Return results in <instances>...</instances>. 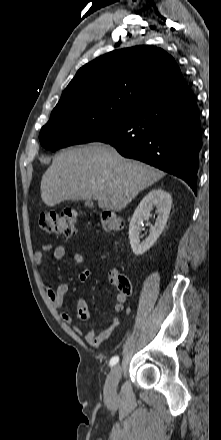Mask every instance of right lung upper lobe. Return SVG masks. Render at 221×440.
<instances>
[{
  "instance_id": "1",
  "label": "right lung upper lobe",
  "mask_w": 221,
  "mask_h": 440,
  "mask_svg": "<svg viewBox=\"0 0 221 440\" xmlns=\"http://www.w3.org/2000/svg\"><path fill=\"white\" fill-rule=\"evenodd\" d=\"M186 86L172 56L154 46H136L109 52L81 67L54 109L97 102L137 108Z\"/></svg>"
}]
</instances>
